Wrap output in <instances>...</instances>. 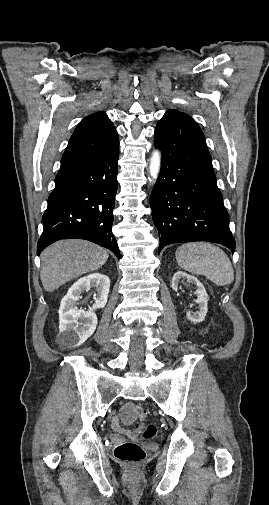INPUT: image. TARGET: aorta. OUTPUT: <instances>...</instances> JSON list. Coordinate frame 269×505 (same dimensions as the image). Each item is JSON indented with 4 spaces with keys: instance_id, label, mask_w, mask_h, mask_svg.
<instances>
[{
    "instance_id": "762f6f07",
    "label": "aorta",
    "mask_w": 269,
    "mask_h": 505,
    "mask_svg": "<svg viewBox=\"0 0 269 505\" xmlns=\"http://www.w3.org/2000/svg\"><path fill=\"white\" fill-rule=\"evenodd\" d=\"M160 166H161V154L159 150H154L151 158H150V163H149V173H150V178L149 180H156L159 172H160Z\"/></svg>"
}]
</instances>
